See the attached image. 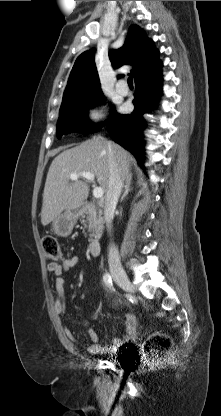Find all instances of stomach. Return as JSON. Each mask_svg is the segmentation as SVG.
I'll return each mask as SVG.
<instances>
[{
    "instance_id": "0dacf381",
    "label": "stomach",
    "mask_w": 221,
    "mask_h": 416,
    "mask_svg": "<svg viewBox=\"0 0 221 416\" xmlns=\"http://www.w3.org/2000/svg\"><path fill=\"white\" fill-rule=\"evenodd\" d=\"M78 211H65L52 221L53 232L60 237H68L73 230Z\"/></svg>"
}]
</instances>
